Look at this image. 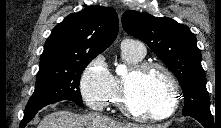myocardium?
Listing matches in <instances>:
<instances>
[{"instance_id": "myocardium-1", "label": "myocardium", "mask_w": 221, "mask_h": 128, "mask_svg": "<svg viewBox=\"0 0 221 128\" xmlns=\"http://www.w3.org/2000/svg\"><path fill=\"white\" fill-rule=\"evenodd\" d=\"M154 69L160 70L165 75L166 79L169 82L170 86L169 105L167 109L161 113L147 115L136 112L132 109V107L129 104L130 79L141 76L145 74L147 71ZM179 100H180L179 85L172 71L162 63L145 61L131 68L129 74L123 79L119 105L124 115H126L130 119L136 121L160 122L164 119L169 118L176 112L179 105Z\"/></svg>"}]
</instances>
